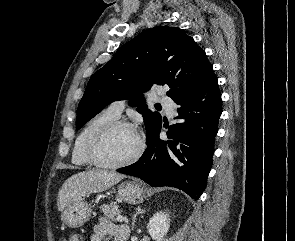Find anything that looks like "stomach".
Returning a JSON list of instances; mask_svg holds the SVG:
<instances>
[{
	"mask_svg": "<svg viewBox=\"0 0 295 241\" xmlns=\"http://www.w3.org/2000/svg\"><path fill=\"white\" fill-rule=\"evenodd\" d=\"M147 190L139 180H127L118 185L117 199L129 204H137L146 197ZM92 216L91 204L83 199L68 205L61 215L62 222L70 228H79Z\"/></svg>",
	"mask_w": 295,
	"mask_h": 241,
	"instance_id": "1",
	"label": "stomach"
}]
</instances>
